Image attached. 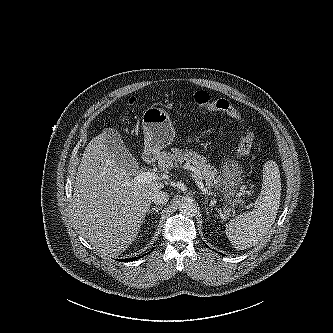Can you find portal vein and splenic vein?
Masks as SVG:
<instances>
[{"label":"portal vein and splenic vein","mask_w":333,"mask_h":333,"mask_svg":"<svg viewBox=\"0 0 333 333\" xmlns=\"http://www.w3.org/2000/svg\"><path fill=\"white\" fill-rule=\"evenodd\" d=\"M185 169L191 171L193 173V177L198 185V187L201 189V191L204 194H212V192H210V190H208L207 188H205L204 183L202 181L201 178V173L200 171H198L194 166L192 165H187L185 167ZM160 180V176L159 174L155 173V172H141L139 174H137L133 181L136 183H140V182H152V181H158ZM241 192L238 193V197L240 196Z\"/></svg>","instance_id":"1"}]
</instances>
